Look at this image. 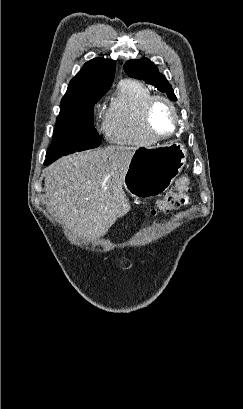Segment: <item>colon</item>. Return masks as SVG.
I'll list each match as a JSON object with an SVG mask.
<instances>
[{"mask_svg":"<svg viewBox=\"0 0 243 409\" xmlns=\"http://www.w3.org/2000/svg\"><path fill=\"white\" fill-rule=\"evenodd\" d=\"M191 180L187 176L179 178L174 187L160 198L152 210V215L166 214L189 201Z\"/></svg>","mask_w":243,"mask_h":409,"instance_id":"1","label":"colon"}]
</instances>
